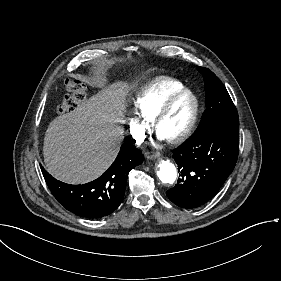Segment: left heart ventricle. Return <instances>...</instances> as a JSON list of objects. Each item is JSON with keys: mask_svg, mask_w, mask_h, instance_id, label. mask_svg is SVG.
Returning a JSON list of instances; mask_svg holds the SVG:
<instances>
[{"mask_svg": "<svg viewBox=\"0 0 281 281\" xmlns=\"http://www.w3.org/2000/svg\"><path fill=\"white\" fill-rule=\"evenodd\" d=\"M193 106V99L189 95L175 101L159 123V137L168 139L176 135L187 123Z\"/></svg>", "mask_w": 281, "mask_h": 281, "instance_id": "b2bd125f", "label": "left heart ventricle"}]
</instances>
